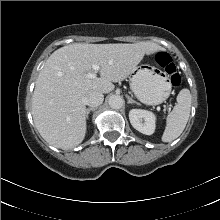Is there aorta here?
I'll return each instance as SVG.
<instances>
[{
  "label": "aorta",
  "mask_w": 220,
  "mask_h": 220,
  "mask_svg": "<svg viewBox=\"0 0 220 220\" xmlns=\"http://www.w3.org/2000/svg\"><path fill=\"white\" fill-rule=\"evenodd\" d=\"M108 103L112 109H120V108H122L124 101L121 96L112 95V96H110Z\"/></svg>",
  "instance_id": "aorta-1"
}]
</instances>
